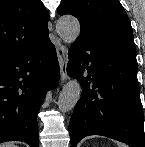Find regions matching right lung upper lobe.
<instances>
[{
    "label": "right lung upper lobe",
    "instance_id": "obj_1",
    "mask_svg": "<svg viewBox=\"0 0 145 147\" xmlns=\"http://www.w3.org/2000/svg\"><path fill=\"white\" fill-rule=\"evenodd\" d=\"M48 19L41 0H0V61L48 38Z\"/></svg>",
    "mask_w": 145,
    "mask_h": 147
}]
</instances>
